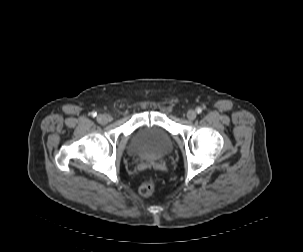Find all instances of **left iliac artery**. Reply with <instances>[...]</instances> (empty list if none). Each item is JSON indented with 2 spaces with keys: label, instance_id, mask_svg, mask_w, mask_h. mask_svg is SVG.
I'll return each mask as SVG.
<instances>
[{
  "label": "left iliac artery",
  "instance_id": "1",
  "mask_svg": "<svg viewBox=\"0 0 303 252\" xmlns=\"http://www.w3.org/2000/svg\"><path fill=\"white\" fill-rule=\"evenodd\" d=\"M196 112H197L198 114H200V113L202 112V109H201L200 107H198V108H196Z\"/></svg>",
  "mask_w": 303,
  "mask_h": 252
}]
</instances>
